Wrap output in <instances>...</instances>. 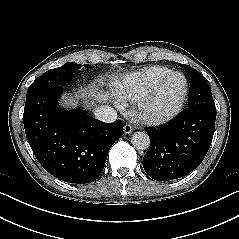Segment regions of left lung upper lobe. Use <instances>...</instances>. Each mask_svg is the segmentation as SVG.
I'll return each mask as SVG.
<instances>
[{
	"instance_id": "1",
	"label": "left lung upper lobe",
	"mask_w": 239,
	"mask_h": 239,
	"mask_svg": "<svg viewBox=\"0 0 239 239\" xmlns=\"http://www.w3.org/2000/svg\"><path fill=\"white\" fill-rule=\"evenodd\" d=\"M184 68L187 74L191 77L188 106L190 107L203 102H213L211 90L204 77L189 65L184 66Z\"/></svg>"
}]
</instances>
